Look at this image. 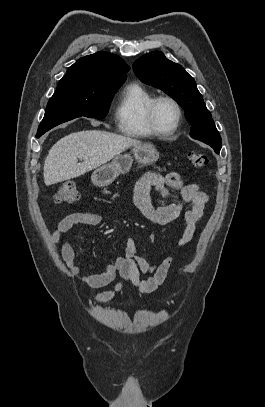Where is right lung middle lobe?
<instances>
[{"label": "right lung middle lobe", "instance_id": "1", "mask_svg": "<svg viewBox=\"0 0 265 407\" xmlns=\"http://www.w3.org/2000/svg\"><path fill=\"white\" fill-rule=\"evenodd\" d=\"M121 85L122 83L105 81L78 82L61 79L47 104L37 135L77 117L104 118L114 93Z\"/></svg>", "mask_w": 265, "mask_h": 407}]
</instances>
